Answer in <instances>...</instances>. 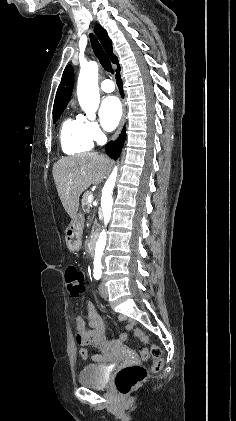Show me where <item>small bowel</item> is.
Instances as JSON below:
<instances>
[{
	"label": "small bowel",
	"instance_id": "small-bowel-1",
	"mask_svg": "<svg viewBox=\"0 0 236 421\" xmlns=\"http://www.w3.org/2000/svg\"><path fill=\"white\" fill-rule=\"evenodd\" d=\"M88 311H89V324L91 326V330L102 329L104 331V323L102 318L96 313L93 305L91 303L88 304ZM85 323L81 318L77 319V325L80 328ZM81 357L86 360L87 359V352L85 349L80 350Z\"/></svg>",
	"mask_w": 236,
	"mask_h": 421
}]
</instances>
